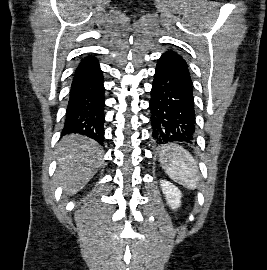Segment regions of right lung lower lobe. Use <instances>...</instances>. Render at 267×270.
<instances>
[{"instance_id":"1","label":"right lung lower lobe","mask_w":267,"mask_h":270,"mask_svg":"<svg viewBox=\"0 0 267 270\" xmlns=\"http://www.w3.org/2000/svg\"><path fill=\"white\" fill-rule=\"evenodd\" d=\"M103 75L93 56L84 58L77 67L65 115L62 133L82 134L99 143L104 141Z\"/></svg>"}]
</instances>
